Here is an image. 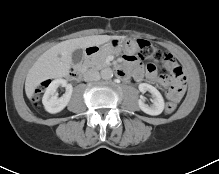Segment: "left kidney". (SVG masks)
<instances>
[{
    "instance_id": "1",
    "label": "left kidney",
    "mask_w": 219,
    "mask_h": 174,
    "mask_svg": "<svg viewBox=\"0 0 219 174\" xmlns=\"http://www.w3.org/2000/svg\"><path fill=\"white\" fill-rule=\"evenodd\" d=\"M139 90L140 92H150L152 94V105L149 106L144 103L143 96L140 97L138 100L139 108L146 114L156 116L163 112L164 110V99L161 95V93L152 85L147 83H141L139 84Z\"/></svg>"
}]
</instances>
